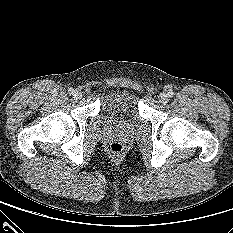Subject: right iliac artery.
Wrapping results in <instances>:
<instances>
[{
	"instance_id": "82829eb1",
	"label": "right iliac artery",
	"mask_w": 233,
	"mask_h": 233,
	"mask_svg": "<svg viewBox=\"0 0 233 233\" xmlns=\"http://www.w3.org/2000/svg\"><path fill=\"white\" fill-rule=\"evenodd\" d=\"M68 92H69V94H73L74 89L73 88H69Z\"/></svg>"
}]
</instances>
